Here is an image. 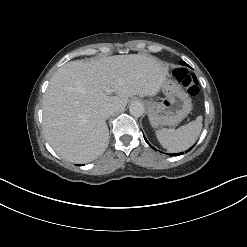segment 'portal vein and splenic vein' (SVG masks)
Masks as SVG:
<instances>
[{"instance_id":"1","label":"portal vein and splenic vein","mask_w":247,"mask_h":247,"mask_svg":"<svg viewBox=\"0 0 247 247\" xmlns=\"http://www.w3.org/2000/svg\"><path fill=\"white\" fill-rule=\"evenodd\" d=\"M110 92H111V90H110L109 88H106V89H105V93H106V94H109Z\"/></svg>"}]
</instances>
